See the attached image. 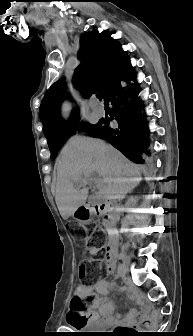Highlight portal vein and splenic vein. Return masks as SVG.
I'll list each match as a JSON object with an SVG mask.
<instances>
[{
    "label": "portal vein and splenic vein",
    "mask_w": 193,
    "mask_h": 336,
    "mask_svg": "<svg viewBox=\"0 0 193 336\" xmlns=\"http://www.w3.org/2000/svg\"><path fill=\"white\" fill-rule=\"evenodd\" d=\"M83 183H87L85 180H83Z\"/></svg>",
    "instance_id": "obj_1"
}]
</instances>
